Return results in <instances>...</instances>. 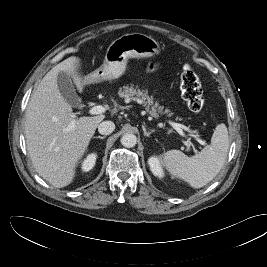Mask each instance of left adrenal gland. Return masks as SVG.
<instances>
[{
	"label": "left adrenal gland",
	"mask_w": 267,
	"mask_h": 267,
	"mask_svg": "<svg viewBox=\"0 0 267 267\" xmlns=\"http://www.w3.org/2000/svg\"><path fill=\"white\" fill-rule=\"evenodd\" d=\"M142 129H143V132H144V136L145 137H150V134H152V132H154V130H150L149 132L146 130L145 126L142 125Z\"/></svg>",
	"instance_id": "a2214340"
}]
</instances>
